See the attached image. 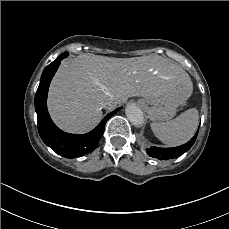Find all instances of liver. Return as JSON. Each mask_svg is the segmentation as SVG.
<instances>
[{"label":"liver","instance_id":"1","mask_svg":"<svg viewBox=\"0 0 229 229\" xmlns=\"http://www.w3.org/2000/svg\"><path fill=\"white\" fill-rule=\"evenodd\" d=\"M192 89L188 73L159 55L120 59L80 54L62 61L50 85L48 110L62 130L83 133L99 122L109 101L122 104L133 96L153 98Z\"/></svg>","mask_w":229,"mask_h":229}]
</instances>
